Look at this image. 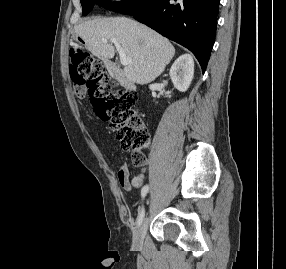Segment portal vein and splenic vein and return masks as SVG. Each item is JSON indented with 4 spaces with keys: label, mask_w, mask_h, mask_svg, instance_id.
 <instances>
[{
    "label": "portal vein and splenic vein",
    "mask_w": 286,
    "mask_h": 269,
    "mask_svg": "<svg viewBox=\"0 0 286 269\" xmlns=\"http://www.w3.org/2000/svg\"><path fill=\"white\" fill-rule=\"evenodd\" d=\"M102 41L104 43H107V40L106 39H102ZM110 41L116 46V49L119 53V56H120V63L123 65V66H126L128 64L131 63V58L129 56L126 55V53L124 52L123 48L121 47V45L119 44V42L112 38L110 39Z\"/></svg>",
    "instance_id": "obj_1"
}]
</instances>
